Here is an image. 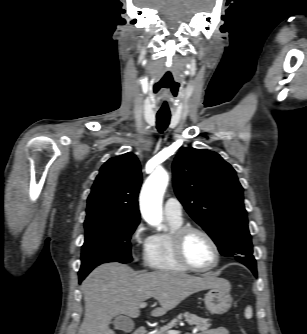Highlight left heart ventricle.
<instances>
[{
    "label": "left heart ventricle",
    "mask_w": 307,
    "mask_h": 334,
    "mask_svg": "<svg viewBox=\"0 0 307 334\" xmlns=\"http://www.w3.org/2000/svg\"><path fill=\"white\" fill-rule=\"evenodd\" d=\"M185 250L189 261L197 267H208L215 260L214 249L199 233H192L186 240Z\"/></svg>",
    "instance_id": "left-heart-ventricle-1"
}]
</instances>
